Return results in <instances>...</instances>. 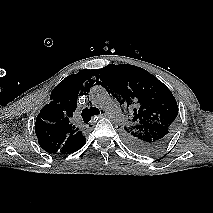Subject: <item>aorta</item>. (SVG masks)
Masks as SVG:
<instances>
[{
  "instance_id": "1",
  "label": "aorta",
  "mask_w": 213,
  "mask_h": 213,
  "mask_svg": "<svg viewBox=\"0 0 213 213\" xmlns=\"http://www.w3.org/2000/svg\"><path fill=\"white\" fill-rule=\"evenodd\" d=\"M89 99L95 106L106 111L111 122L115 124H123L124 114L104 87H92L89 92Z\"/></svg>"
}]
</instances>
